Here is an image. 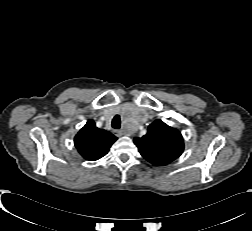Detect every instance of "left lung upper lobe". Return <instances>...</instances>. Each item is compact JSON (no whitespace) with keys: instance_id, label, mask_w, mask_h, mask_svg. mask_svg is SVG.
I'll return each instance as SVG.
<instances>
[{"instance_id":"1","label":"left lung upper lobe","mask_w":252,"mask_h":231,"mask_svg":"<svg viewBox=\"0 0 252 231\" xmlns=\"http://www.w3.org/2000/svg\"><path fill=\"white\" fill-rule=\"evenodd\" d=\"M140 154L156 166L167 165L178 158L184 149L183 138L179 130L161 120L154 121L143 137L134 138Z\"/></svg>"}]
</instances>
